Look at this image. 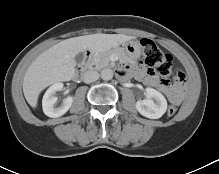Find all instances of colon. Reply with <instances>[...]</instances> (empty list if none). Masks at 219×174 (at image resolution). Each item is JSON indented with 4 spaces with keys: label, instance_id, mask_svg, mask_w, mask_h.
Returning a JSON list of instances; mask_svg holds the SVG:
<instances>
[{
    "label": "colon",
    "instance_id": "5ec220e1",
    "mask_svg": "<svg viewBox=\"0 0 219 174\" xmlns=\"http://www.w3.org/2000/svg\"><path fill=\"white\" fill-rule=\"evenodd\" d=\"M141 45L143 48L144 63L149 68H152L156 74L163 78L173 76L175 80L185 83V75L178 69L173 67L172 58L164 53L152 40L142 39ZM177 108L169 106L167 115L172 117L176 114Z\"/></svg>",
    "mask_w": 219,
    "mask_h": 174
}]
</instances>
